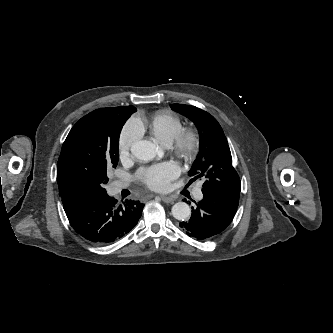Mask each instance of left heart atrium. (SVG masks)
Masks as SVG:
<instances>
[{
    "instance_id": "39dd6f15",
    "label": "left heart atrium",
    "mask_w": 333,
    "mask_h": 333,
    "mask_svg": "<svg viewBox=\"0 0 333 333\" xmlns=\"http://www.w3.org/2000/svg\"><path fill=\"white\" fill-rule=\"evenodd\" d=\"M179 174V167L173 162H163L142 168L138 171V178L148 188L164 190Z\"/></svg>"
}]
</instances>
